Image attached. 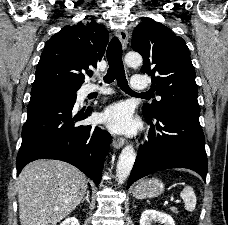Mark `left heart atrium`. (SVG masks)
<instances>
[{
	"instance_id": "1",
	"label": "left heart atrium",
	"mask_w": 228,
	"mask_h": 225,
	"mask_svg": "<svg viewBox=\"0 0 228 225\" xmlns=\"http://www.w3.org/2000/svg\"><path fill=\"white\" fill-rule=\"evenodd\" d=\"M102 120L115 133L131 134L137 128V123L132 119L130 108L125 103H117L107 107L102 114Z\"/></svg>"
}]
</instances>
